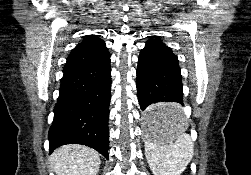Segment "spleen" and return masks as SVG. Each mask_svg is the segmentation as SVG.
<instances>
[{"label":"spleen","instance_id":"spleen-1","mask_svg":"<svg viewBox=\"0 0 251 175\" xmlns=\"http://www.w3.org/2000/svg\"><path fill=\"white\" fill-rule=\"evenodd\" d=\"M174 117H178V121H173ZM148 119L145 153L149 167L154 175H180L191 161L194 147L189 133H184L187 125L183 123L182 111L176 107H156L148 111ZM171 125L175 135H172Z\"/></svg>","mask_w":251,"mask_h":175}]
</instances>
